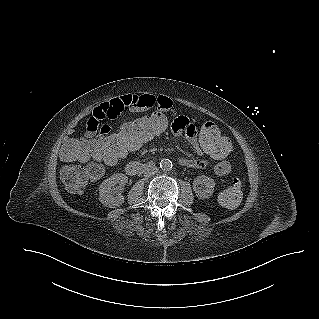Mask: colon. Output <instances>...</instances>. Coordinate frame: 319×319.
<instances>
[{"instance_id":"colon-1","label":"colon","mask_w":319,"mask_h":319,"mask_svg":"<svg viewBox=\"0 0 319 319\" xmlns=\"http://www.w3.org/2000/svg\"><path fill=\"white\" fill-rule=\"evenodd\" d=\"M168 132L169 120L166 115L153 113L135 115L133 121L121 124L98 139L89 136L80 139L67 137L61 150L63 159L68 162L62 168V180L70 192L80 193L91 180L102 175V165L115 167L144 144L161 140ZM198 141L217 160H228L235 153L234 140L215 124H206L198 134ZM86 160H89L86 165L78 163ZM241 197V182L235 178L222 190L219 201L227 208H234L240 203Z\"/></svg>"}]
</instances>
